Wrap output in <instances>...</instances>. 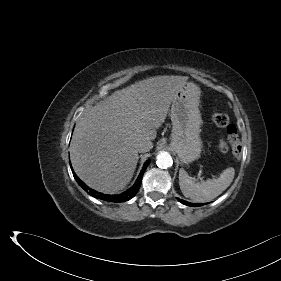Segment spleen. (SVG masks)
<instances>
[{
  "instance_id": "3e777b00",
  "label": "spleen",
  "mask_w": 281,
  "mask_h": 281,
  "mask_svg": "<svg viewBox=\"0 0 281 281\" xmlns=\"http://www.w3.org/2000/svg\"><path fill=\"white\" fill-rule=\"evenodd\" d=\"M235 170L225 169L218 178L195 182L184 169L179 170V185L183 195L197 203L212 201L232 183Z\"/></svg>"
}]
</instances>
